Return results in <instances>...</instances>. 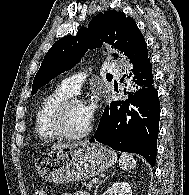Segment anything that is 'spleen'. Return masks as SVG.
I'll return each instance as SVG.
<instances>
[{
    "label": "spleen",
    "instance_id": "1",
    "mask_svg": "<svg viewBox=\"0 0 189 195\" xmlns=\"http://www.w3.org/2000/svg\"><path fill=\"white\" fill-rule=\"evenodd\" d=\"M119 165L123 170H128L136 166V161L131 154L123 153L120 156Z\"/></svg>",
    "mask_w": 189,
    "mask_h": 195
}]
</instances>
